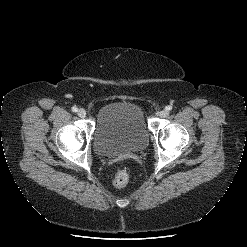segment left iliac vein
Returning <instances> with one entry per match:
<instances>
[{
  "label": "left iliac vein",
  "mask_w": 247,
  "mask_h": 247,
  "mask_svg": "<svg viewBox=\"0 0 247 247\" xmlns=\"http://www.w3.org/2000/svg\"><path fill=\"white\" fill-rule=\"evenodd\" d=\"M168 115H169V110H167V109H164V110L159 112L160 117L164 118V117H167Z\"/></svg>",
  "instance_id": "left-iliac-vein-1"
}]
</instances>
